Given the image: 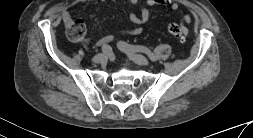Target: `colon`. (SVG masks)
Listing matches in <instances>:
<instances>
[{
  "mask_svg": "<svg viewBox=\"0 0 253 138\" xmlns=\"http://www.w3.org/2000/svg\"><path fill=\"white\" fill-rule=\"evenodd\" d=\"M66 23V31L68 36L74 41H83L86 38V25L81 19H69ZM170 35L179 41H185L187 37V29L177 23H170L167 26Z\"/></svg>",
  "mask_w": 253,
  "mask_h": 138,
  "instance_id": "colon-1",
  "label": "colon"
}]
</instances>
